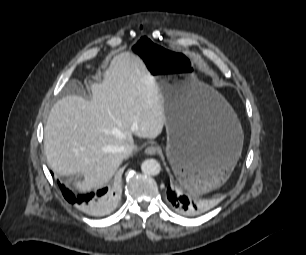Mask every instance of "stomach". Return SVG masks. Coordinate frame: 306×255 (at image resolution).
<instances>
[{
  "label": "stomach",
  "mask_w": 306,
  "mask_h": 255,
  "mask_svg": "<svg viewBox=\"0 0 306 255\" xmlns=\"http://www.w3.org/2000/svg\"><path fill=\"white\" fill-rule=\"evenodd\" d=\"M132 54L156 80L162 96L167 132L166 155L180 183L206 192L230 177L243 147L242 127L227 101L199 81L189 54L157 45L151 35H138ZM197 174L182 182L183 168Z\"/></svg>",
  "instance_id": "stomach-1"
}]
</instances>
